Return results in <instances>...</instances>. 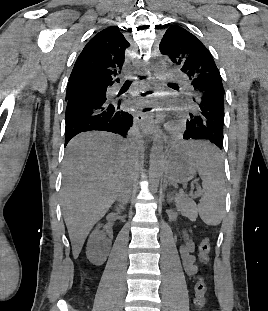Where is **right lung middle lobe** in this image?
Listing matches in <instances>:
<instances>
[{
  "label": "right lung middle lobe",
  "instance_id": "dd1d6c3e",
  "mask_svg": "<svg viewBox=\"0 0 268 311\" xmlns=\"http://www.w3.org/2000/svg\"><path fill=\"white\" fill-rule=\"evenodd\" d=\"M83 96V97H100L106 95V88L102 86H95L90 84H77L66 91V100L72 96Z\"/></svg>",
  "mask_w": 268,
  "mask_h": 311
}]
</instances>
